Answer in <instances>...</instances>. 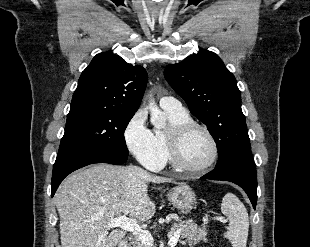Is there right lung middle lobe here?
Returning a JSON list of instances; mask_svg holds the SVG:
<instances>
[{
	"label": "right lung middle lobe",
	"instance_id": "1",
	"mask_svg": "<svg viewBox=\"0 0 310 247\" xmlns=\"http://www.w3.org/2000/svg\"><path fill=\"white\" fill-rule=\"evenodd\" d=\"M133 116L107 109L70 110L59 151L81 147L128 156L124 130Z\"/></svg>",
	"mask_w": 310,
	"mask_h": 247
}]
</instances>
